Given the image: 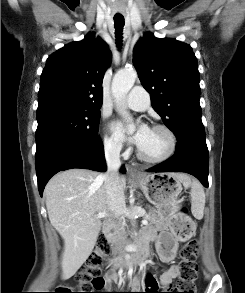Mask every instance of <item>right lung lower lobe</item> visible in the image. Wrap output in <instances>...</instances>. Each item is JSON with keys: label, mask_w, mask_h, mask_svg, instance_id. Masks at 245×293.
Here are the masks:
<instances>
[{"label": "right lung lower lobe", "mask_w": 245, "mask_h": 293, "mask_svg": "<svg viewBox=\"0 0 245 293\" xmlns=\"http://www.w3.org/2000/svg\"><path fill=\"white\" fill-rule=\"evenodd\" d=\"M82 168L94 171H105V158L102 143L65 144L52 149L36 162L38 189L42 196L49 179L59 171ZM125 173V169L121 168Z\"/></svg>", "instance_id": "1"}]
</instances>
